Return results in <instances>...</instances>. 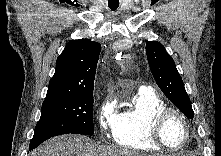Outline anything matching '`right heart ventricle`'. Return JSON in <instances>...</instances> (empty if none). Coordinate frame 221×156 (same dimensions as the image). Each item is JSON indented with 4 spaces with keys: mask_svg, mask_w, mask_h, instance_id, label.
<instances>
[{
    "mask_svg": "<svg viewBox=\"0 0 221 156\" xmlns=\"http://www.w3.org/2000/svg\"><path fill=\"white\" fill-rule=\"evenodd\" d=\"M165 107L164 100L154 91L139 90L130 105L116 115L112 131L114 142L131 150L159 151L160 148L150 138V126L154 116Z\"/></svg>",
    "mask_w": 221,
    "mask_h": 156,
    "instance_id": "e07e8e85",
    "label": "right heart ventricle"
}]
</instances>
